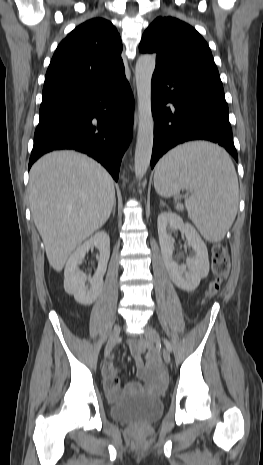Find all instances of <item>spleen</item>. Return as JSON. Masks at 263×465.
Here are the masks:
<instances>
[{
	"instance_id": "obj_1",
	"label": "spleen",
	"mask_w": 263,
	"mask_h": 465,
	"mask_svg": "<svg viewBox=\"0 0 263 465\" xmlns=\"http://www.w3.org/2000/svg\"><path fill=\"white\" fill-rule=\"evenodd\" d=\"M154 187L162 197L191 189L188 216L210 242L221 241L236 217L237 174L229 155L214 144L193 142L168 152L157 164Z\"/></svg>"
}]
</instances>
